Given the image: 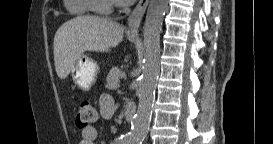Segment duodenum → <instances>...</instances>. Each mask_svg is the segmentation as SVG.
Masks as SVG:
<instances>
[{"label": "duodenum", "mask_w": 273, "mask_h": 144, "mask_svg": "<svg viewBox=\"0 0 273 144\" xmlns=\"http://www.w3.org/2000/svg\"><path fill=\"white\" fill-rule=\"evenodd\" d=\"M136 114V108L132 104L125 105L124 116L127 121H132Z\"/></svg>", "instance_id": "obj_1"}]
</instances>
